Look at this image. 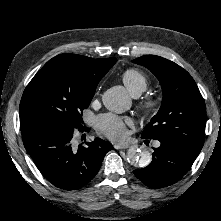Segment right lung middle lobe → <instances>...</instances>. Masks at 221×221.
Here are the masks:
<instances>
[{"label":"right lung middle lobe","mask_w":221,"mask_h":221,"mask_svg":"<svg viewBox=\"0 0 221 221\" xmlns=\"http://www.w3.org/2000/svg\"><path fill=\"white\" fill-rule=\"evenodd\" d=\"M94 94L95 90L71 88L46 75H35L23 93L20 120L83 129L81 114Z\"/></svg>","instance_id":"dd1d6c3e"}]
</instances>
